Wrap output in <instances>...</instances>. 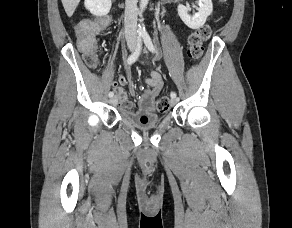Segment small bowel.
<instances>
[{
    "label": "small bowel",
    "mask_w": 292,
    "mask_h": 228,
    "mask_svg": "<svg viewBox=\"0 0 292 228\" xmlns=\"http://www.w3.org/2000/svg\"><path fill=\"white\" fill-rule=\"evenodd\" d=\"M145 82L148 86L143 90L138 97V111H145L147 113L155 110V99L160 94L163 87V80L160 73L156 70H151L145 77ZM129 83V91L132 95H136L135 85L132 83V74L128 73V77L119 76L117 81L113 84V89L117 95L118 105L126 110L133 111L135 104L128 100L125 86Z\"/></svg>",
    "instance_id": "c3829d8e"
}]
</instances>
